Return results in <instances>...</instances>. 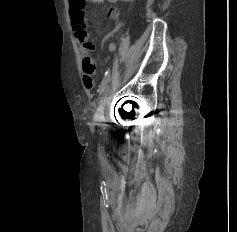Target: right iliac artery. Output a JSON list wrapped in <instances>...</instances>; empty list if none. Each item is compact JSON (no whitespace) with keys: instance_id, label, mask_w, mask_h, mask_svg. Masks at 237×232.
I'll return each instance as SVG.
<instances>
[{"instance_id":"right-iliac-artery-1","label":"right iliac artery","mask_w":237,"mask_h":232,"mask_svg":"<svg viewBox=\"0 0 237 232\" xmlns=\"http://www.w3.org/2000/svg\"><path fill=\"white\" fill-rule=\"evenodd\" d=\"M115 48H116V45H115L114 43H111V44L109 45V50H110L111 52H113V51L115 50ZM109 78H110V69H108V70L106 71V73H105V75H104V78H103V80H102V83H101V85H100V92H101V93L104 92V90L106 89V86H107V84H108Z\"/></svg>"}]
</instances>
